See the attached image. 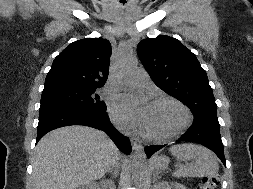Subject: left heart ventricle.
I'll return each instance as SVG.
<instances>
[{"instance_id":"left-heart-ventricle-1","label":"left heart ventricle","mask_w":253,"mask_h":189,"mask_svg":"<svg viewBox=\"0 0 253 189\" xmlns=\"http://www.w3.org/2000/svg\"><path fill=\"white\" fill-rule=\"evenodd\" d=\"M182 118V112L171 103L150 104L145 130L155 134H166L173 131L181 123Z\"/></svg>"}]
</instances>
